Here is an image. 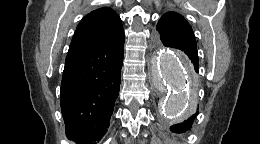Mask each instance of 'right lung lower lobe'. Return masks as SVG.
Here are the masks:
<instances>
[{
	"label": "right lung lower lobe",
	"mask_w": 260,
	"mask_h": 144,
	"mask_svg": "<svg viewBox=\"0 0 260 144\" xmlns=\"http://www.w3.org/2000/svg\"><path fill=\"white\" fill-rule=\"evenodd\" d=\"M124 37L68 52L61 82L66 136L76 144H96L109 127L119 95Z\"/></svg>",
	"instance_id": "right-lung-lower-lobe-1"
}]
</instances>
